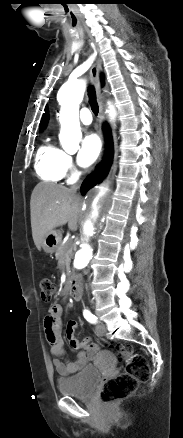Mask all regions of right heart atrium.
Masks as SVG:
<instances>
[{"label": "right heart atrium", "instance_id": "obj_1", "mask_svg": "<svg viewBox=\"0 0 183 438\" xmlns=\"http://www.w3.org/2000/svg\"><path fill=\"white\" fill-rule=\"evenodd\" d=\"M63 165L66 173H69L71 175L75 174L74 159L71 155L65 154Z\"/></svg>", "mask_w": 183, "mask_h": 438}]
</instances>
